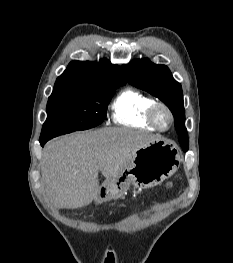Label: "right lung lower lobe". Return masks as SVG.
I'll list each match as a JSON object with an SVG mask.
<instances>
[{
  "label": "right lung lower lobe",
  "mask_w": 233,
  "mask_h": 263,
  "mask_svg": "<svg viewBox=\"0 0 233 263\" xmlns=\"http://www.w3.org/2000/svg\"><path fill=\"white\" fill-rule=\"evenodd\" d=\"M48 141V139H45V140H40V144L41 146H44V144Z\"/></svg>",
  "instance_id": "1"
}]
</instances>
